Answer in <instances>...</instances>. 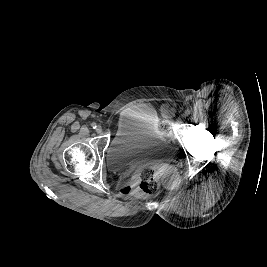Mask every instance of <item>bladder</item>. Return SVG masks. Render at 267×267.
<instances>
[{
    "instance_id": "bladder-1",
    "label": "bladder",
    "mask_w": 267,
    "mask_h": 267,
    "mask_svg": "<svg viewBox=\"0 0 267 267\" xmlns=\"http://www.w3.org/2000/svg\"><path fill=\"white\" fill-rule=\"evenodd\" d=\"M165 142L152 108H129L121 114L116 133L107 150V166L111 170L137 166L161 150Z\"/></svg>"
}]
</instances>
